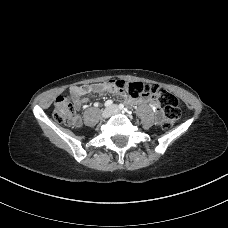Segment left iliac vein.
<instances>
[{"instance_id":"left-iliac-vein-1","label":"left iliac vein","mask_w":228,"mask_h":228,"mask_svg":"<svg viewBox=\"0 0 228 228\" xmlns=\"http://www.w3.org/2000/svg\"><path fill=\"white\" fill-rule=\"evenodd\" d=\"M111 109H112V113H113V114H118V113L121 112V110L119 109V107H118L117 105H113V106L111 107Z\"/></svg>"}]
</instances>
